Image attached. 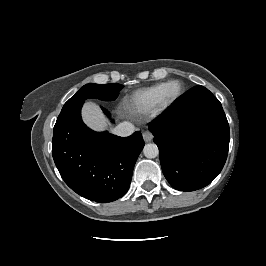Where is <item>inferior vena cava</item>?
<instances>
[{
    "instance_id": "1",
    "label": "inferior vena cava",
    "mask_w": 266,
    "mask_h": 266,
    "mask_svg": "<svg viewBox=\"0 0 266 266\" xmlns=\"http://www.w3.org/2000/svg\"><path fill=\"white\" fill-rule=\"evenodd\" d=\"M134 125L130 122H122L113 129V134L120 137H127L133 134Z\"/></svg>"
}]
</instances>
